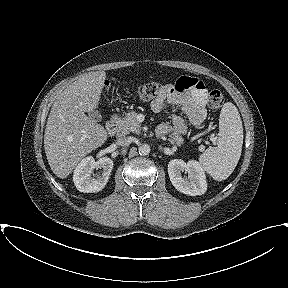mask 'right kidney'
<instances>
[{"instance_id": "1", "label": "right kidney", "mask_w": 288, "mask_h": 288, "mask_svg": "<svg viewBox=\"0 0 288 288\" xmlns=\"http://www.w3.org/2000/svg\"><path fill=\"white\" fill-rule=\"evenodd\" d=\"M95 168L102 169V174L91 177ZM112 168L113 161L108 157H102L98 161H95L91 156L86 157L81 160L74 170V184L80 192H99L107 184Z\"/></svg>"}]
</instances>
